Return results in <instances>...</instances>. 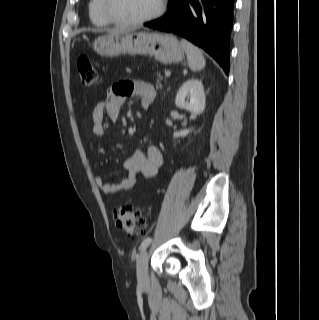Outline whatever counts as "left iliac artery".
<instances>
[{
  "instance_id": "1",
  "label": "left iliac artery",
  "mask_w": 319,
  "mask_h": 320,
  "mask_svg": "<svg viewBox=\"0 0 319 320\" xmlns=\"http://www.w3.org/2000/svg\"><path fill=\"white\" fill-rule=\"evenodd\" d=\"M151 242H152V238H151V237H146V238L142 241L139 249H140L141 251L145 250V249L150 245Z\"/></svg>"
}]
</instances>
